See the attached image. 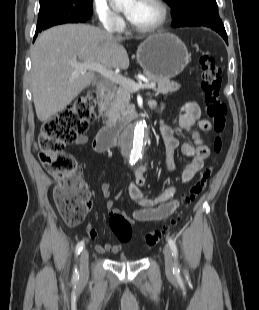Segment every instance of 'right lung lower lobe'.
Masks as SVG:
<instances>
[{
  "instance_id": "right-lung-lower-lobe-1",
  "label": "right lung lower lobe",
  "mask_w": 259,
  "mask_h": 310,
  "mask_svg": "<svg viewBox=\"0 0 259 310\" xmlns=\"http://www.w3.org/2000/svg\"><path fill=\"white\" fill-rule=\"evenodd\" d=\"M64 23H67V22H55V23L49 25L48 27H46V28H44V29H42V30L36 31V34H35V36H34V40L36 39L38 33H40L41 31H43V30H45V29H47V28H49V27H51V26L58 25V24H64Z\"/></svg>"
}]
</instances>
